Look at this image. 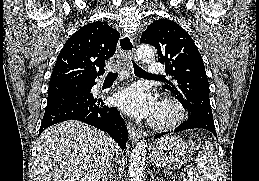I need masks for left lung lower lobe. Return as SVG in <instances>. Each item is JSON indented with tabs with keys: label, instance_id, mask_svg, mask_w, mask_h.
<instances>
[{
	"label": "left lung lower lobe",
	"instance_id": "1",
	"mask_svg": "<svg viewBox=\"0 0 259 181\" xmlns=\"http://www.w3.org/2000/svg\"><path fill=\"white\" fill-rule=\"evenodd\" d=\"M188 115H189V118L181 125H179L173 132H180L183 130L193 129V128H202L212 132L217 137L213 120H209L203 117H193L189 114V112H188ZM168 133H170V131L162 134H156L154 136V139H157Z\"/></svg>",
	"mask_w": 259,
	"mask_h": 181
}]
</instances>
